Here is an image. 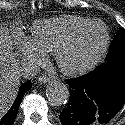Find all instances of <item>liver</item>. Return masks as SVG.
Wrapping results in <instances>:
<instances>
[{"instance_id": "liver-1", "label": "liver", "mask_w": 125, "mask_h": 125, "mask_svg": "<svg viewBox=\"0 0 125 125\" xmlns=\"http://www.w3.org/2000/svg\"><path fill=\"white\" fill-rule=\"evenodd\" d=\"M20 70L11 50L8 32L0 27V117L8 110L16 98Z\"/></svg>"}]
</instances>
